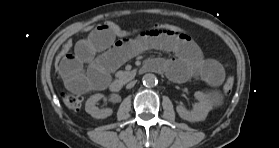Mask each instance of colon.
I'll list each match as a JSON object with an SVG mask.
<instances>
[{
  "label": "colon",
  "mask_w": 279,
  "mask_h": 148,
  "mask_svg": "<svg viewBox=\"0 0 279 148\" xmlns=\"http://www.w3.org/2000/svg\"><path fill=\"white\" fill-rule=\"evenodd\" d=\"M102 28L110 31L114 36L118 38H130L138 35H146V34H152L156 32H166L170 34L175 35H183L188 36V34L185 32L183 28L180 26L174 25V24H155L150 27L145 28H133V29H127L122 27L121 25L112 22V21H106L101 24H98L94 27H87L85 29V32L88 33L94 28ZM74 48V43L72 40H68L64 43V45L61 47L55 61V66L58 70L59 64L61 60L70 52H72ZM234 87V78L232 76H229L223 86V92L225 95H230ZM63 101L67 108L71 111H79L82 106V97L80 95H74V94H64L63 95Z\"/></svg>",
  "instance_id": "obj_1"
}]
</instances>
